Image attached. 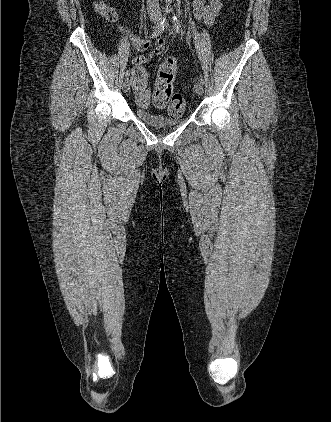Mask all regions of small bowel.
<instances>
[{"mask_svg": "<svg viewBox=\"0 0 331 422\" xmlns=\"http://www.w3.org/2000/svg\"><path fill=\"white\" fill-rule=\"evenodd\" d=\"M193 13L195 18L207 25H212L216 17L218 16L222 8V0H193ZM132 44L139 51H146L150 47V43L143 41L134 35L127 33ZM167 41L165 38H158L154 45L153 50L147 54H141L136 57L131 58L133 64L138 67L142 64L148 62L153 56L160 55L164 52ZM133 89L136 94V102L138 105L145 106L149 103L147 101L145 104L142 103L140 96L145 94L149 97V89L147 88V79L140 80L132 77Z\"/></svg>", "mask_w": 331, "mask_h": 422, "instance_id": "obj_1", "label": "small bowel"}]
</instances>
